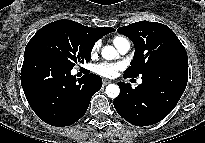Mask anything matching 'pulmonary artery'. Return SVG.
Instances as JSON below:
<instances>
[{"label": "pulmonary artery", "instance_id": "obj_1", "mask_svg": "<svg viewBox=\"0 0 205 143\" xmlns=\"http://www.w3.org/2000/svg\"><path fill=\"white\" fill-rule=\"evenodd\" d=\"M116 48L121 55H125L130 50L131 43L127 39H124L116 45ZM141 83L142 79L140 78L138 79V84Z\"/></svg>", "mask_w": 205, "mask_h": 143}]
</instances>
